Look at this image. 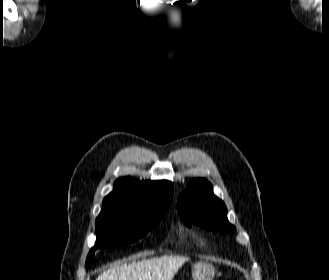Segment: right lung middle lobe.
<instances>
[{
    "label": "right lung middle lobe",
    "instance_id": "right-lung-middle-lobe-1",
    "mask_svg": "<svg viewBox=\"0 0 329 280\" xmlns=\"http://www.w3.org/2000/svg\"><path fill=\"white\" fill-rule=\"evenodd\" d=\"M169 206L170 203L157 204L144 210L121 203L103 204L96 219L97 240L87 256V268L94 262L97 248L138 241L162 218Z\"/></svg>",
    "mask_w": 329,
    "mask_h": 280
}]
</instances>
